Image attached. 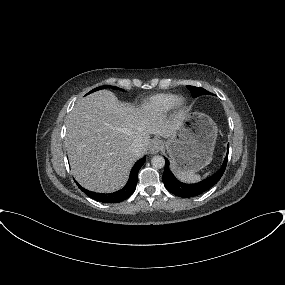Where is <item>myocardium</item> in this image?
Listing matches in <instances>:
<instances>
[{
	"mask_svg": "<svg viewBox=\"0 0 285 285\" xmlns=\"http://www.w3.org/2000/svg\"><path fill=\"white\" fill-rule=\"evenodd\" d=\"M174 108L178 111H184L186 108V100L183 97H177L174 102Z\"/></svg>",
	"mask_w": 285,
	"mask_h": 285,
	"instance_id": "myocardium-1",
	"label": "myocardium"
}]
</instances>
